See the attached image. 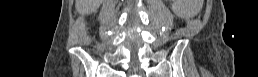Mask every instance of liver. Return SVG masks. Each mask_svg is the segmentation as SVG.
I'll return each instance as SVG.
<instances>
[{
  "mask_svg": "<svg viewBox=\"0 0 258 77\" xmlns=\"http://www.w3.org/2000/svg\"><path fill=\"white\" fill-rule=\"evenodd\" d=\"M92 0H76L75 6L79 12H87Z\"/></svg>",
  "mask_w": 258,
  "mask_h": 77,
  "instance_id": "liver-1",
  "label": "liver"
}]
</instances>
